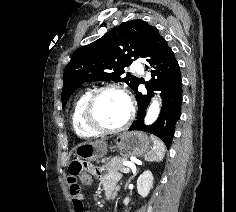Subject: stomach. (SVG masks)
<instances>
[{"instance_id":"obj_1","label":"stomach","mask_w":236,"mask_h":212,"mask_svg":"<svg viewBox=\"0 0 236 212\" xmlns=\"http://www.w3.org/2000/svg\"><path fill=\"white\" fill-rule=\"evenodd\" d=\"M116 147L124 157H141L151 150V140L147 134L138 131L124 132L117 136ZM107 151V145L94 143H81L75 148V155L79 159L95 161L102 158Z\"/></svg>"}]
</instances>
